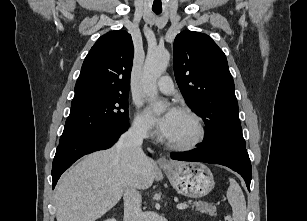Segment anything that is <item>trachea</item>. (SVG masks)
I'll list each match as a JSON object with an SVG mask.
<instances>
[{"label": "trachea", "mask_w": 307, "mask_h": 221, "mask_svg": "<svg viewBox=\"0 0 307 221\" xmlns=\"http://www.w3.org/2000/svg\"><path fill=\"white\" fill-rule=\"evenodd\" d=\"M153 12H155L156 14H160L162 10H153Z\"/></svg>", "instance_id": "obj_1"}]
</instances>
